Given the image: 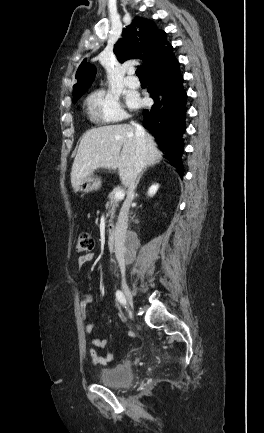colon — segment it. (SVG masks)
<instances>
[{"label": "colon", "mask_w": 264, "mask_h": 433, "mask_svg": "<svg viewBox=\"0 0 264 433\" xmlns=\"http://www.w3.org/2000/svg\"><path fill=\"white\" fill-rule=\"evenodd\" d=\"M94 248V241L89 233L81 232L76 241L75 250L79 254H88Z\"/></svg>", "instance_id": "colon-1"}]
</instances>
